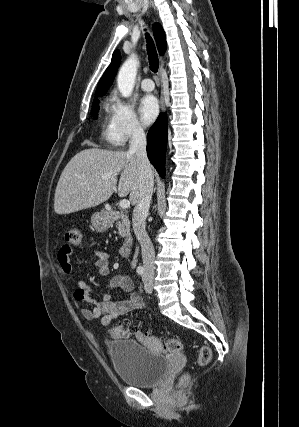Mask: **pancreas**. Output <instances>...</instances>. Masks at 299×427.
Returning a JSON list of instances; mask_svg holds the SVG:
<instances>
[{
  "label": "pancreas",
  "instance_id": "cf45deb5",
  "mask_svg": "<svg viewBox=\"0 0 299 427\" xmlns=\"http://www.w3.org/2000/svg\"><path fill=\"white\" fill-rule=\"evenodd\" d=\"M116 226L121 237L131 240L130 222L128 216L123 211L120 212V221L116 223Z\"/></svg>",
  "mask_w": 299,
  "mask_h": 427
}]
</instances>
